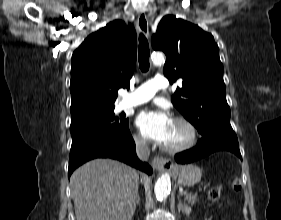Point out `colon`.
<instances>
[{
	"instance_id": "colon-1",
	"label": "colon",
	"mask_w": 281,
	"mask_h": 220,
	"mask_svg": "<svg viewBox=\"0 0 281 220\" xmlns=\"http://www.w3.org/2000/svg\"><path fill=\"white\" fill-rule=\"evenodd\" d=\"M233 189L235 191H240L241 190V183L239 179H234L233 180ZM221 196V186L220 185H215L211 187L208 191V199L211 202H216Z\"/></svg>"
}]
</instances>
